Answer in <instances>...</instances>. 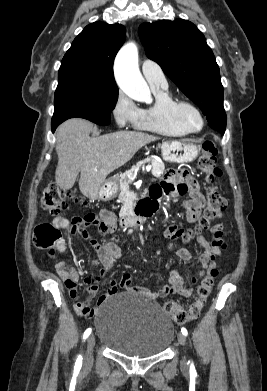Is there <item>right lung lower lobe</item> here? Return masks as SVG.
I'll return each instance as SVG.
<instances>
[{
  "label": "right lung lower lobe",
  "mask_w": 267,
  "mask_h": 391,
  "mask_svg": "<svg viewBox=\"0 0 267 391\" xmlns=\"http://www.w3.org/2000/svg\"><path fill=\"white\" fill-rule=\"evenodd\" d=\"M59 124H51V127H52V132H54L56 130V128L58 127Z\"/></svg>",
  "instance_id": "1"
}]
</instances>
